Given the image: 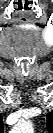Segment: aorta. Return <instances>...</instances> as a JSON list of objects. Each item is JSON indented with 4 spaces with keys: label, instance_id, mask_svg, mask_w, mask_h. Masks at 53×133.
Here are the masks:
<instances>
[{
    "label": "aorta",
    "instance_id": "1",
    "mask_svg": "<svg viewBox=\"0 0 53 133\" xmlns=\"http://www.w3.org/2000/svg\"><path fill=\"white\" fill-rule=\"evenodd\" d=\"M16 129L22 133H30L33 130L31 125L25 123L19 124Z\"/></svg>",
    "mask_w": 53,
    "mask_h": 133
}]
</instances>
